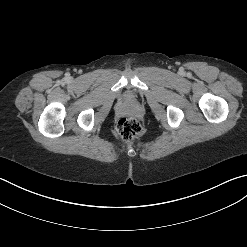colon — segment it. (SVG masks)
Listing matches in <instances>:
<instances>
[{
  "mask_svg": "<svg viewBox=\"0 0 247 247\" xmlns=\"http://www.w3.org/2000/svg\"><path fill=\"white\" fill-rule=\"evenodd\" d=\"M116 130L124 141H131L142 131L140 122L133 116H124L116 124Z\"/></svg>",
  "mask_w": 247,
  "mask_h": 247,
  "instance_id": "1",
  "label": "colon"
}]
</instances>
